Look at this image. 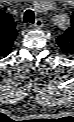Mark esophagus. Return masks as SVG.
<instances>
[{"label":"esophagus","instance_id":"34e87169","mask_svg":"<svg viewBox=\"0 0 74 122\" xmlns=\"http://www.w3.org/2000/svg\"><path fill=\"white\" fill-rule=\"evenodd\" d=\"M43 26V21L41 19H37L33 24L34 28H41Z\"/></svg>","mask_w":74,"mask_h":122}]
</instances>
